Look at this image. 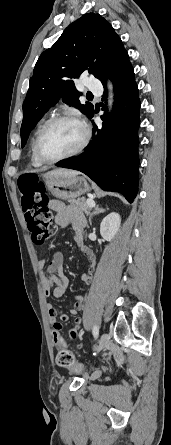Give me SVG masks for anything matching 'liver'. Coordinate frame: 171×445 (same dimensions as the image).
<instances>
[{
    "label": "liver",
    "mask_w": 171,
    "mask_h": 445,
    "mask_svg": "<svg viewBox=\"0 0 171 445\" xmlns=\"http://www.w3.org/2000/svg\"><path fill=\"white\" fill-rule=\"evenodd\" d=\"M46 175H60V176H76L78 175L77 171L67 170V169H56L48 172Z\"/></svg>",
    "instance_id": "1"
}]
</instances>
